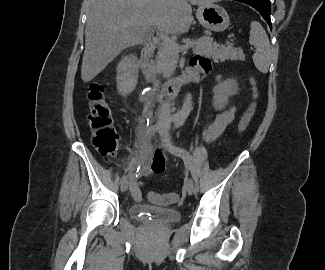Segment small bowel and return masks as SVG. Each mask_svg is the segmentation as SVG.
Masks as SVG:
<instances>
[{
	"label": "small bowel",
	"instance_id": "small-bowel-1",
	"mask_svg": "<svg viewBox=\"0 0 325 270\" xmlns=\"http://www.w3.org/2000/svg\"><path fill=\"white\" fill-rule=\"evenodd\" d=\"M211 67L210 59L203 55L194 56L189 63L190 74L195 77H203L208 74ZM236 112V107L230 106L228 109L219 113L214 121L206 128V139L209 141L216 139L233 122ZM164 168V159L159 156L153 164V170L156 173H160ZM131 193L135 200H141L140 184L135 181L134 177H131Z\"/></svg>",
	"mask_w": 325,
	"mask_h": 270
}]
</instances>
